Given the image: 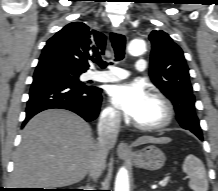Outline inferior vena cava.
<instances>
[{
	"instance_id": "1",
	"label": "inferior vena cava",
	"mask_w": 218,
	"mask_h": 191,
	"mask_svg": "<svg viewBox=\"0 0 218 191\" xmlns=\"http://www.w3.org/2000/svg\"><path fill=\"white\" fill-rule=\"evenodd\" d=\"M121 122V115L117 111L103 113L98 123V142L96 144V154L89 169V175L93 179L99 178L105 169L106 156L114 147Z\"/></svg>"
}]
</instances>
